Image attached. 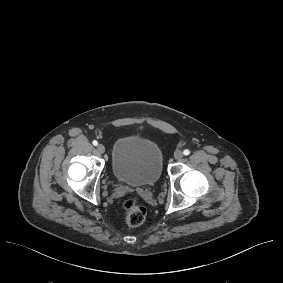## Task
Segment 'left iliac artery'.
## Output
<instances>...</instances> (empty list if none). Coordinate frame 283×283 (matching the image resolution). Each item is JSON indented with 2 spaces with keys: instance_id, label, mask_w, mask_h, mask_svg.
I'll return each mask as SVG.
<instances>
[{
  "instance_id": "1",
  "label": "left iliac artery",
  "mask_w": 283,
  "mask_h": 283,
  "mask_svg": "<svg viewBox=\"0 0 283 283\" xmlns=\"http://www.w3.org/2000/svg\"><path fill=\"white\" fill-rule=\"evenodd\" d=\"M183 154H184V155H189V154H190V151H189L188 149H185V150L183 151Z\"/></svg>"
}]
</instances>
